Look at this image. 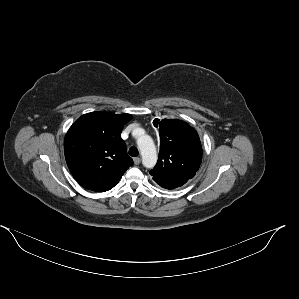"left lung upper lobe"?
I'll return each instance as SVG.
<instances>
[{
    "label": "left lung upper lobe",
    "mask_w": 299,
    "mask_h": 299,
    "mask_svg": "<svg viewBox=\"0 0 299 299\" xmlns=\"http://www.w3.org/2000/svg\"><path fill=\"white\" fill-rule=\"evenodd\" d=\"M159 132V159L150 175L155 178H193L202 161V147L196 130L182 120L162 119Z\"/></svg>",
    "instance_id": "left-lung-upper-lobe-1"
}]
</instances>
